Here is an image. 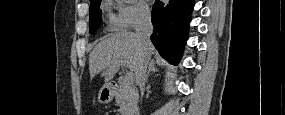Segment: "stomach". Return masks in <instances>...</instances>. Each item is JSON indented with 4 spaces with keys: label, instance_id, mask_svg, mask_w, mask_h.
Wrapping results in <instances>:
<instances>
[{
    "label": "stomach",
    "instance_id": "1",
    "mask_svg": "<svg viewBox=\"0 0 285 115\" xmlns=\"http://www.w3.org/2000/svg\"><path fill=\"white\" fill-rule=\"evenodd\" d=\"M114 95H115L114 87L110 84H106L99 91L98 101L102 104H108L112 101Z\"/></svg>",
    "mask_w": 285,
    "mask_h": 115
}]
</instances>
